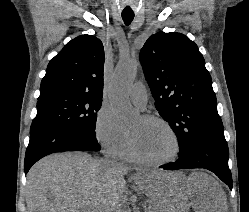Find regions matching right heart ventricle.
<instances>
[{"label": "right heart ventricle", "instance_id": "right-heart-ventricle-1", "mask_svg": "<svg viewBox=\"0 0 249 212\" xmlns=\"http://www.w3.org/2000/svg\"><path fill=\"white\" fill-rule=\"evenodd\" d=\"M126 158H127V159H129V158H130V156H129V154H128V153L126 154Z\"/></svg>", "mask_w": 249, "mask_h": 212}]
</instances>
